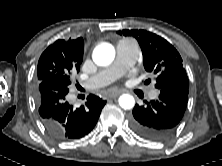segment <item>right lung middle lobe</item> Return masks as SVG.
Here are the masks:
<instances>
[{
    "label": "right lung middle lobe",
    "mask_w": 222,
    "mask_h": 166,
    "mask_svg": "<svg viewBox=\"0 0 222 166\" xmlns=\"http://www.w3.org/2000/svg\"><path fill=\"white\" fill-rule=\"evenodd\" d=\"M79 51L74 54H42L37 67L38 82L53 79L62 84H71L70 75L79 71L82 62L84 42L78 40Z\"/></svg>",
    "instance_id": "obj_1"
}]
</instances>
